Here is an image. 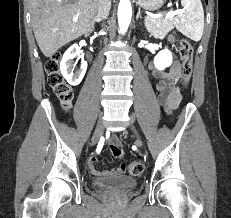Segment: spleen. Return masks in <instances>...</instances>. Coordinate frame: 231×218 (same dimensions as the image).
Masks as SVG:
<instances>
[{
    "label": "spleen",
    "mask_w": 231,
    "mask_h": 218,
    "mask_svg": "<svg viewBox=\"0 0 231 218\" xmlns=\"http://www.w3.org/2000/svg\"><path fill=\"white\" fill-rule=\"evenodd\" d=\"M183 12L175 20L177 29L192 39L199 41L204 30V11L200 0H181Z\"/></svg>",
    "instance_id": "spleen-1"
}]
</instances>
